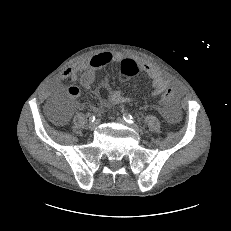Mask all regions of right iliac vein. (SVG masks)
Instances as JSON below:
<instances>
[{
    "label": "right iliac vein",
    "instance_id": "63e3f726",
    "mask_svg": "<svg viewBox=\"0 0 231 231\" xmlns=\"http://www.w3.org/2000/svg\"><path fill=\"white\" fill-rule=\"evenodd\" d=\"M97 126V123L96 122H90L89 125H88V128L90 130H94Z\"/></svg>",
    "mask_w": 231,
    "mask_h": 231
}]
</instances>
